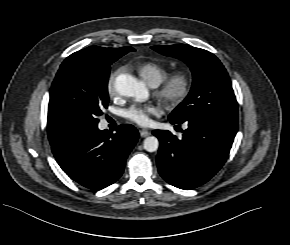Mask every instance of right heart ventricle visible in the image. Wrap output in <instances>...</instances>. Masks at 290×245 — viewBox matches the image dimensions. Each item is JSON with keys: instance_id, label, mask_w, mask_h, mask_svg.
Returning a JSON list of instances; mask_svg holds the SVG:
<instances>
[{"instance_id": "right-heart-ventricle-1", "label": "right heart ventricle", "mask_w": 290, "mask_h": 245, "mask_svg": "<svg viewBox=\"0 0 290 245\" xmlns=\"http://www.w3.org/2000/svg\"><path fill=\"white\" fill-rule=\"evenodd\" d=\"M140 76L151 86L159 85L167 76L168 71L155 62H144L137 67Z\"/></svg>"}]
</instances>
